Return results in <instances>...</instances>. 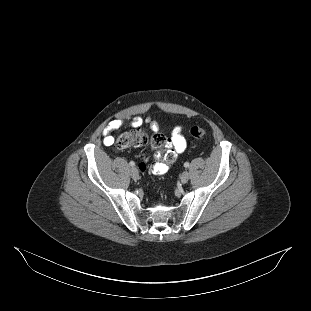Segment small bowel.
<instances>
[{"label": "small bowel", "instance_id": "small-bowel-1", "mask_svg": "<svg viewBox=\"0 0 311 311\" xmlns=\"http://www.w3.org/2000/svg\"><path fill=\"white\" fill-rule=\"evenodd\" d=\"M142 119L139 117H135L132 121V126L138 127L142 124ZM147 124L149 125L150 129L154 132L158 131V124L155 121L150 119L146 120ZM124 123L121 119H114L110 121L107 126L103 130V143L106 146H111L114 143V137L112 133L114 131L120 130L123 128ZM154 148H160L159 146L153 144ZM165 148L167 149L166 153L162 155L159 151L155 153V157L157 159L163 158L164 162L156 163L152 167V172L155 174H159L157 172L156 166L161 164L164 166L165 171L167 170V165L172 164L177 159L178 155L181 154L186 148V140L182 134L181 126H175L172 130L171 138L166 142ZM163 172V173H164ZM162 174V173H161Z\"/></svg>", "mask_w": 311, "mask_h": 311}]
</instances>
